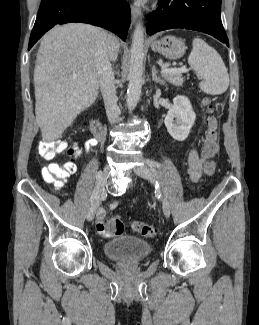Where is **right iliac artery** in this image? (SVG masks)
<instances>
[{"label":"right iliac artery","instance_id":"1","mask_svg":"<svg viewBox=\"0 0 259 325\" xmlns=\"http://www.w3.org/2000/svg\"><path fill=\"white\" fill-rule=\"evenodd\" d=\"M100 175H101V171L98 172L97 175H95V180L94 182L92 183V187H93V191H92V195H91V203H93L96 199H97V196H98V187L100 186V183H101V180H100Z\"/></svg>","mask_w":259,"mask_h":325}]
</instances>
